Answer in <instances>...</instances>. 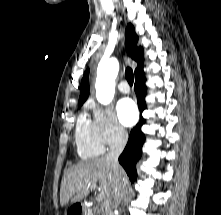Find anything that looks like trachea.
Masks as SVG:
<instances>
[{"label":"trachea","mask_w":221,"mask_h":215,"mask_svg":"<svg viewBox=\"0 0 221 215\" xmlns=\"http://www.w3.org/2000/svg\"><path fill=\"white\" fill-rule=\"evenodd\" d=\"M125 77H126V80L128 81V83L130 85H133L134 75H133V71L130 67H127V69L125 71Z\"/></svg>","instance_id":"trachea-1"}]
</instances>
